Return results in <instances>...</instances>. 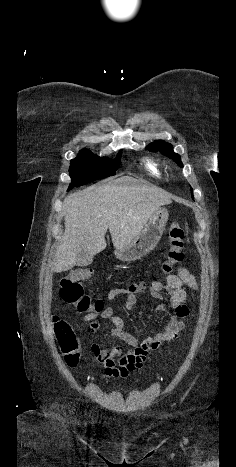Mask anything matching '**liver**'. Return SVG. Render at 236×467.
<instances>
[{"mask_svg":"<svg viewBox=\"0 0 236 467\" xmlns=\"http://www.w3.org/2000/svg\"><path fill=\"white\" fill-rule=\"evenodd\" d=\"M171 202L166 191L129 176L68 195L64 200L65 231L52 270L60 273L73 268L82 250L92 255L103 251L107 229L115 248L129 244L152 214Z\"/></svg>","mask_w":236,"mask_h":467,"instance_id":"1","label":"liver"}]
</instances>
